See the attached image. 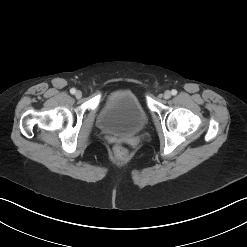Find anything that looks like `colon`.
I'll use <instances>...</instances> for the list:
<instances>
[{
  "instance_id": "1",
  "label": "colon",
  "mask_w": 247,
  "mask_h": 247,
  "mask_svg": "<svg viewBox=\"0 0 247 247\" xmlns=\"http://www.w3.org/2000/svg\"><path fill=\"white\" fill-rule=\"evenodd\" d=\"M114 154L116 159L121 162L126 161L128 158V153L126 149L122 146H116L114 148Z\"/></svg>"
}]
</instances>
